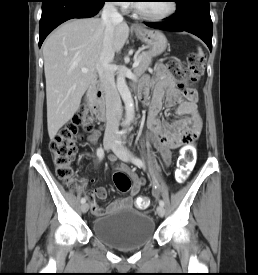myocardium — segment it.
I'll return each mask as SVG.
<instances>
[{"mask_svg": "<svg viewBox=\"0 0 258 275\" xmlns=\"http://www.w3.org/2000/svg\"><path fill=\"white\" fill-rule=\"evenodd\" d=\"M169 2H170V8H169V10L166 13H164L162 15H159V16H154V15L148 14L146 11H144L140 7L139 4H134V8H135V10H136V12L138 14H140L141 16H143L146 19H149V20H152V21H161V20H164V19H167V18L171 17L177 11V3H176V1L175 0H171Z\"/></svg>", "mask_w": 258, "mask_h": 275, "instance_id": "obj_1", "label": "myocardium"}]
</instances>
